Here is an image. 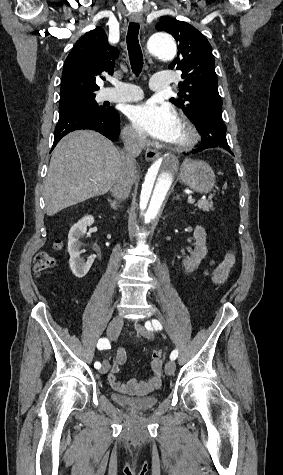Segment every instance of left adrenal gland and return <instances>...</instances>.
<instances>
[{
  "instance_id": "left-adrenal-gland-1",
  "label": "left adrenal gland",
  "mask_w": 283,
  "mask_h": 475,
  "mask_svg": "<svg viewBox=\"0 0 283 475\" xmlns=\"http://www.w3.org/2000/svg\"><path fill=\"white\" fill-rule=\"evenodd\" d=\"M173 200H180V196H176V198H173Z\"/></svg>"
}]
</instances>
